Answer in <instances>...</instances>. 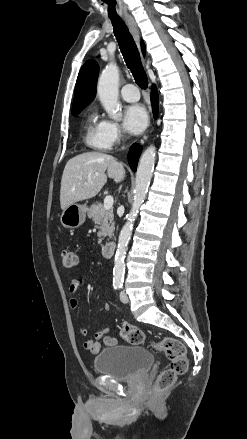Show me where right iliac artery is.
<instances>
[{
    "instance_id": "right-iliac-artery-1",
    "label": "right iliac artery",
    "mask_w": 247,
    "mask_h": 439,
    "mask_svg": "<svg viewBox=\"0 0 247 439\" xmlns=\"http://www.w3.org/2000/svg\"><path fill=\"white\" fill-rule=\"evenodd\" d=\"M122 287V284H114V289H119V288H121Z\"/></svg>"
}]
</instances>
